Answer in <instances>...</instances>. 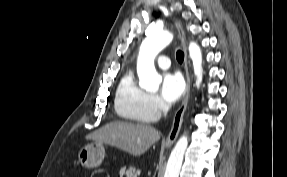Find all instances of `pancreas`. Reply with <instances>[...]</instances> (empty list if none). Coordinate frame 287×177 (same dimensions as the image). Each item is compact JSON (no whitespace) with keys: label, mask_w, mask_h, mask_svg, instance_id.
Returning <instances> with one entry per match:
<instances>
[{"label":"pancreas","mask_w":287,"mask_h":177,"mask_svg":"<svg viewBox=\"0 0 287 177\" xmlns=\"http://www.w3.org/2000/svg\"><path fill=\"white\" fill-rule=\"evenodd\" d=\"M120 177L126 176V177H138V175L140 174L139 170H136L133 167H130L128 169L126 168H122L119 172Z\"/></svg>","instance_id":"obj_1"}]
</instances>
